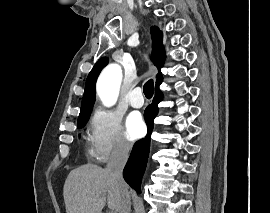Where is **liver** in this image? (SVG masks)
<instances>
[{
  "instance_id": "liver-1",
  "label": "liver",
  "mask_w": 270,
  "mask_h": 213,
  "mask_svg": "<svg viewBox=\"0 0 270 213\" xmlns=\"http://www.w3.org/2000/svg\"><path fill=\"white\" fill-rule=\"evenodd\" d=\"M63 196L66 213H101L106 202L115 212L121 207L117 180L106 168L94 164L80 166L68 174Z\"/></svg>"
}]
</instances>
